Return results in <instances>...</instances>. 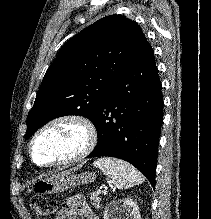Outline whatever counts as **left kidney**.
Returning a JSON list of instances; mask_svg holds the SVG:
<instances>
[{"label": "left kidney", "mask_w": 211, "mask_h": 219, "mask_svg": "<svg viewBox=\"0 0 211 219\" xmlns=\"http://www.w3.org/2000/svg\"><path fill=\"white\" fill-rule=\"evenodd\" d=\"M104 219H141V216L137 203L125 198L110 202L104 211Z\"/></svg>", "instance_id": "left-kidney-1"}]
</instances>
